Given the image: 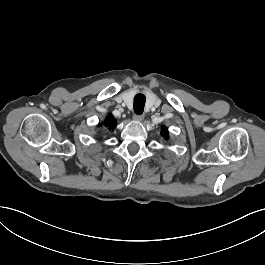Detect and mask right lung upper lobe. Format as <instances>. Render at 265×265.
Here are the masks:
<instances>
[{
    "label": "right lung upper lobe",
    "mask_w": 265,
    "mask_h": 265,
    "mask_svg": "<svg viewBox=\"0 0 265 265\" xmlns=\"http://www.w3.org/2000/svg\"><path fill=\"white\" fill-rule=\"evenodd\" d=\"M117 125V120L114 118L112 114H109L105 120L100 124V126H104L107 128L109 131H113L114 128Z\"/></svg>",
    "instance_id": "cb5924a9"
}]
</instances>
